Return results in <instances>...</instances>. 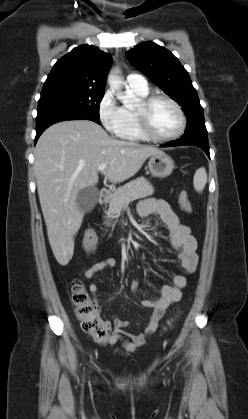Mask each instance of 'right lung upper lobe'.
<instances>
[{
  "label": "right lung upper lobe",
  "instance_id": "right-lung-upper-lobe-1",
  "mask_svg": "<svg viewBox=\"0 0 248 419\" xmlns=\"http://www.w3.org/2000/svg\"><path fill=\"white\" fill-rule=\"evenodd\" d=\"M111 62V56L95 46L76 47L56 62L43 88L79 87L104 91Z\"/></svg>",
  "mask_w": 248,
  "mask_h": 419
}]
</instances>
